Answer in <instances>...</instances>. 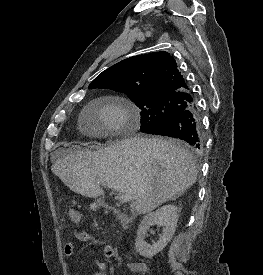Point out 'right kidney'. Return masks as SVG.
Returning <instances> with one entry per match:
<instances>
[{"label": "right kidney", "mask_w": 263, "mask_h": 275, "mask_svg": "<svg viewBox=\"0 0 263 275\" xmlns=\"http://www.w3.org/2000/svg\"><path fill=\"white\" fill-rule=\"evenodd\" d=\"M178 222V208L175 205H166L155 212L144 216L137 231L135 248L137 252L147 258H152L162 251L172 239ZM152 225L162 226L163 233L159 240L150 245L145 242L147 231Z\"/></svg>", "instance_id": "right-kidney-1"}]
</instances>
